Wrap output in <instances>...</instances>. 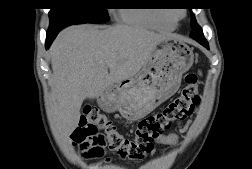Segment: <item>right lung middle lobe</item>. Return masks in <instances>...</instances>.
<instances>
[{"mask_svg": "<svg viewBox=\"0 0 252 169\" xmlns=\"http://www.w3.org/2000/svg\"><path fill=\"white\" fill-rule=\"evenodd\" d=\"M48 31L61 30L72 24L109 21L106 0H52Z\"/></svg>", "mask_w": 252, "mask_h": 169, "instance_id": "obj_1", "label": "right lung middle lobe"}]
</instances>
